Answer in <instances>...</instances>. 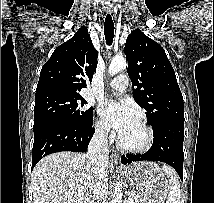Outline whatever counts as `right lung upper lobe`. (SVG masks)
Segmentation results:
<instances>
[{"label": "right lung upper lobe", "mask_w": 214, "mask_h": 203, "mask_svg": "<svg viewBox=\"0 0 214 203\" xmlns=\"http://www.w3.org/2000/svg\"><path fill=\"white\" fill-rule=\"evenodd\" d=\"M97 57L90 34L82 26L70 40L54 50L42 67L35 98L54 93L79 94L92 81Z\"/></svg>", "instance_id": "1"}]
</instances>
